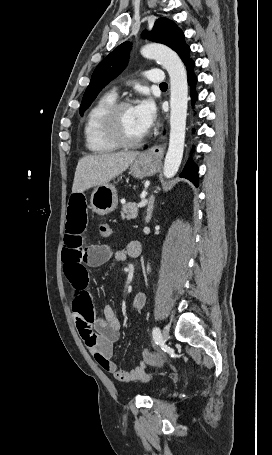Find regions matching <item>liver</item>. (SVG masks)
Here are the masks:
<instances>
[{"label": "liver", "mask_w": 272, "mask_h": 455, "mask_svg": "<svg viewBox=\"0 0 272 455\" xmlns=\"http://www.w3.org/2000/svg\"><path fill=\"white\" fill-rule=\"evenodd\" d=\"M138 155L140 152L129 151L81 158L76 167L72 193H82L109 183L123 173Z\"/></svg>", "instance_id": "1"}]
</instances>
